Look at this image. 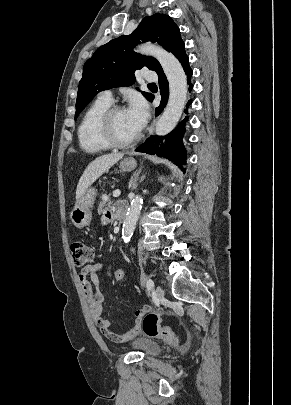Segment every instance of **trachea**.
<instances>
[{
  "label": "trachea",
  "mask_w": 291,
  "mask_h": 405,
  "mask_svg": "<svg viewBox=\"0 0 291 405\" xmlns=\"http://www.w3.org/2000/svg\"><path fill=\"white\" fill-rule=\"evenodd\" d=\"M148 86H155V83H150L148 84Z\"/></svg>",
  "instance_id": "1"
}]
</instances>
